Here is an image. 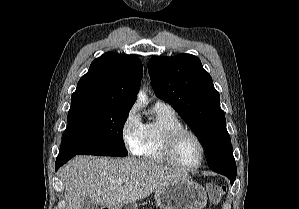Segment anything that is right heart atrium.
<instances>
[{"label": "right heart atrium", "instance_id": "d8ad5b80", "mask_svg": "<svg viewBox=\"0 0 299 209\" xmlns=\"http://www.w3.org/2000/svg\"><path fill=\"white\" fill-rule=\"evenodd\" d=\"M142 122L137 113L136 107H132L126 114L121 126V138L125 147L135 152L141 134Z\"/></svg>", "mask_w": 299, "mask_h": 209}]
</instances>
